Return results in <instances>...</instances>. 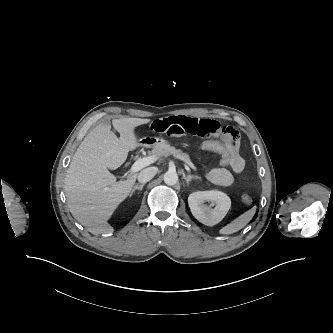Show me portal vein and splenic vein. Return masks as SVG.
Returning a JSON list of instances; mask_svg holds the SVG:
<instances>
[{
	"mask_svg": "<svg viewBox=\"0 0 333 333\" xmlns=\"http://www.w3.org/2000/svg\"><path fill=\"white\" fill-rule=\"evenodd\" d=\"M157 160L156 156H147V157H143L138 159L130 168V173L134 174L138 171H140L141 169H143L144 167L154 163ZM189 166L191 168H195L193 163H190Z\"/></svg>",
	"mask_w": 333,
	"mask_h": 333,
	"instance_id": "18ae733b",
	"label": "portal vein and splenic vein"
}]
</instances>
